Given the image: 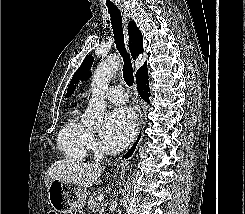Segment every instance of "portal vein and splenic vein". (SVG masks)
Masks as SVG:
<instances>
[{
	"mask_svg": "<svg viewBox=\"0 0 245 214\" xmlns=\"http://www.w3.org/2000/svg\"><path fill=\"white\" fill-rule=\"evenodd\" d=\"M98 200L101 202L103 200V196L102 195H99L98 196Z\"/></svg>",
	"mask_w": 245,
	"mask_h": 214,
	"instance_id": "1",
	"label": "portal vein and splenic vein"
}]
</instances>
